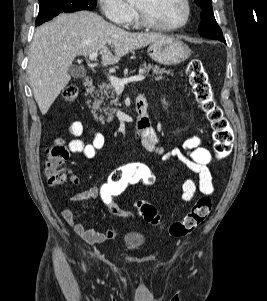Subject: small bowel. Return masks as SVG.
Masks as SVG:
<instances>
[{
  "instance_id": "c3829d8e",
  "label": "small bowel",
  "mask_w": 267,
  "mask_h": 301,
  "mask_svg": "<svg viewBox=\"0 0 267 301\" xmlns=\"http://www.w3.org/2000/svg\"><path fill=\"white\" fill-rule=\"evenodd\" d=\"M67 131L70 135L75 137L68 144L70 151L81 154L86 159L95 157L97 152L105 145L104 135L92 129H87L81 121H73L70 123ZM83 136L87 138H81ZM140 141L147 151L160 155L162 160H176L197 175V180L188 178L183 182L182 199L184 201H190L197 190L205 195L213 193V177L208 167L212 162V154L202 145L200 137H190L183 143L181 148L165 150L160 146V137L157 130L150 127L141 133ZM70 181L73 184H78L79 178L74 173H71ZM98 196L99 188L91 187L75 195L73 201L80 203L86 200L96 199ZM61 214L64 220L73 227L74 231L89 244L103 243L107 240L114 239L118 235L116 230L101 232L93 228H87L82 222H77L74 213L68 209H64ZM114 214L124 218L132 217L131 212L119 208L116 209Z\"/></svg>"
}]
</instances>
